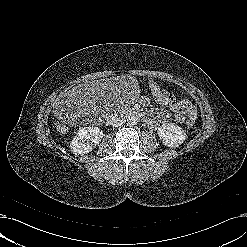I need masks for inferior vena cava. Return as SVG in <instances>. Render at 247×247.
Returning <instances> with one entry per match:
<instances>
[{"instance_id":"inferior-vena-cava-1","label":"inferior vena cava","mask_w":247,"mask_h":247,"mask_svg":"<svg viewBox=\"0 0 247 247\" xmlns=\"http://www.w3.org/2000/svg\"><path fill=\"white\" fill-rule=\"evenodd\" d=\"M126 122L125 118L122 116H113L110 120V124L113 127H120Z\"/></svg>"}]
</instances>
